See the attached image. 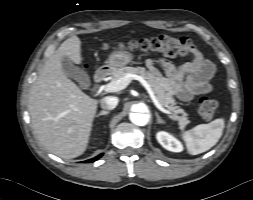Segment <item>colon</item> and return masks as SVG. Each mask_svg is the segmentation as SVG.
I'll use <instances>...</instances> for the list:
<instances>
[{
	"label": "colon",
	"instance_id": "5ec220e1",
	"mask_svg": "<svg viewBox=\"0 0 253 200\" xmlns=\"http://www.w3.org/2000/svg\"><path fill=\"white\" fill-rule=\"evenodd\" d=\"M129 46L133 49L142 51L156 52L164 56H187L193 57L196 51L194 44L185 37H172L160 35L151 38H145L139 41H132ZM106 45V48H109ZM119 48L124 47L123 43L118 44ZM218 104L215 100L203 97L199 105V114L204 120H210L217 112Z\"/></svg>",
	"mask_w": 253,
	"mask_h": 200
}]
</instances>
